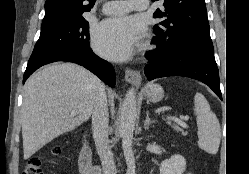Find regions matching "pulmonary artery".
<instances>
[{
	"label": "pulmonary artery",
	"instance_id": "obj_1",
	"mask_svg": "<svg viewBox=\"0 0 249 174\" xmlns=\"http://www.w3.org/2000/svg\"><path fill=\"white\" fill-rule=\"evenodd\" d=\"M149 0L110 1L103 5L102 12L108 15H121L131 10L144 11Z\"/></svg>",
	"mask_w": 249,
	"mask_h": 174
}]
</instances>
